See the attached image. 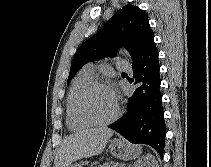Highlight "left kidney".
<instances>
[{
  "mask_svg": "<svg viewBox=\"0 0 211 167\" xmlns=\"http://www.w3.org/2000/svg\"><path fill=\"white\" fill-rule=\"evenodd\" d=\"M132 167H158L157 161L152 154H147L136 161Z\"/></svg>",
  "mask_w": 211,
  "mask_h": 167,
  "instance_id": "obj_1",
  "label": "left kidney"
}]
</instances>
